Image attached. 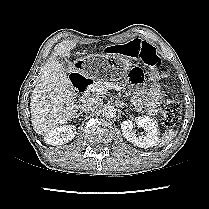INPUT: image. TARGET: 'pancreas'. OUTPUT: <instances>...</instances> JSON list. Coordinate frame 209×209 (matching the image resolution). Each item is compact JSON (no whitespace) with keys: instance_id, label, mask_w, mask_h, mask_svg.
<instances>
[{"instance_id":"1","label":"pancreas","mask_w":209,"mask_h":209,"mask_svg":"<svg viewBox=\"0 0 209 209\" xmlns=\"http://www.w3.org/2000/svg\"><path fill=\"white\" fill-rule=\"evenodd\" d=\"M105 82L106 81H104V82L103 81L94 82L93 85H92V87H91V91L93 93H96V89L99 88V87H101V86H103Z\"/></svg>"}]
</instances>
